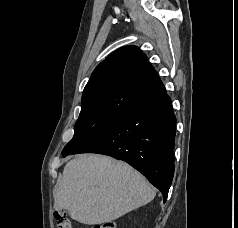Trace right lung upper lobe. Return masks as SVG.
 Returning <instances> with one entry per match:
<instances>
[{
  "label": "right lung upper lobe",
  "instance_id": "cb5924a9",
  "mask_svg": "<svg viewBox=\"0 0 238 228\" xmlns=\"http://www.w3.org/2000/svg\"><path fill=\"white\" fill-rule=\"evenodd\" d=\"M165 92L146 55L125 46L95 68L83 91L81 112L125 113Z\"/></svg>",
  "mask_w": 238,
  "mask_h": 228
}]
</instances>
